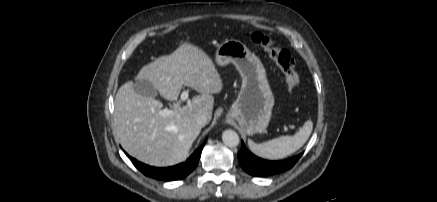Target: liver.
Segmentation results:
<instances>
[{"instance_id":"liver-1","label":"liver","mask_w":437,"mask_h":202,"mask_svg":"<svg viewBox=\"0 0 437 202\" xmlns=\"http://www.w3.org/2000/svg\"><path fill=\"white\" fill-rule=\"evenodd\" d=\"M149 80L166 100L176 101L182 86L200 93L186 105L175 103L172 113L162 116L163 103L137 94L133 82L123 84L114 100V128L124 150L151 166L182 162L198 137L200 113L212 118L214 97L223 88L212 59L198 46L182 43L171 55L160 56L143 66L136 76Z\"/></svg>"}]
</instances>
